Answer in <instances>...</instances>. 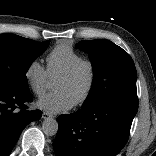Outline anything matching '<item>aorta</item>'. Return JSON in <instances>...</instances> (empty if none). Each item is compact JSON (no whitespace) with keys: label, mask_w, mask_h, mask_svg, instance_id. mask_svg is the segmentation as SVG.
I'll return each instance as SVG.
<instances>
[{"label":"aorta","mask_w":156,"mask_h":156,"mask_svg":"<svg viewBox=\"0 0 156 156\" xmlns=\"http://www.w3.org/2000/svg\"><path fill=\"white\" fill-rule=\"evenodd\" d=\"M42 131L47 136H53L58 131V122L54 118H46L42 123Z\"/></svg>","instance_id":"obj_1"}]
</instances>
